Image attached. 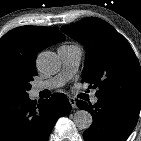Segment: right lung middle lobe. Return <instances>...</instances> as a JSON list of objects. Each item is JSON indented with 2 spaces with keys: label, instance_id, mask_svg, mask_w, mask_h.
Here are the masks:
<instances>
[{
  "label": "right lung middle lobe",
  "instance_id": "right-lung-middle-lobe-1",
  "mask_svg": "<svg viewBox=\"0 0 141 141\" xmlns=\"http://www.w3.org/2000/svg\"><path fill=\"white\" fill-rule=\"evenodd\" d=\"M36 70L23 66L0 67V99L28 96Z\"/></svg>",
  "mask_w": 141,
  "mask_h": 141
}]
</instances>
